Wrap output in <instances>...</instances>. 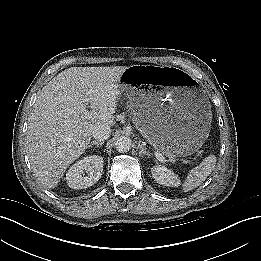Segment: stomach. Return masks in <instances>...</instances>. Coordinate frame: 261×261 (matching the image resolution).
I'll return each instance as SVG.
<instances>
[{"instance_id":"obj_1","label":"stomach","mask_w":261,"mask_h":261,"mask_svg":"<svg viewBox=\"0 0 261 261\" xmlns=\"http://www.w3.org/2000/svg\"><path fill=\"white\" fill-rule=\"evenodd\" d=\"M146 74L171 78L154 91L134 84ZM144 137L164 154L184 157L193 154L209 135L211 111L205 94L189 75L173 67L133 65L119 80Z\"/></svg>"}]
</instances>
